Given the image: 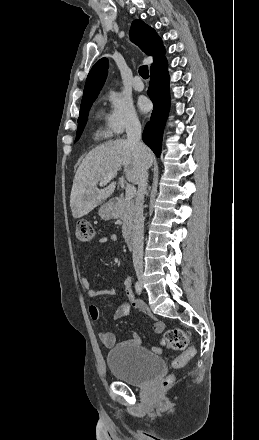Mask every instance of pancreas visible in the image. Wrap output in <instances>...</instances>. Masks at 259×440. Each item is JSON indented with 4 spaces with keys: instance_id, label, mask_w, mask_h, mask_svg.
<instances>
[{
    "instance_id": "obj_1",
    "label": "pancreas",
    "mask_w": 259,
    "mask_h": 440,
    "mask_svg": "<svg viewBox=\"0 0 259 440\" xmlns=\"http://www.w3.org/2000/svg\"><path fill=\"white\" fill-rule=\"evenodd\" d=\"M115 217L120 218L122 223V233L124 237H127L133 229L135 220V207L134 202L120 198L115 205Z\"/></svg>"
}]
</instances>
